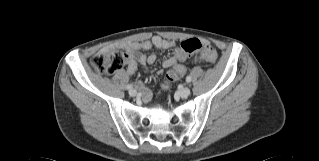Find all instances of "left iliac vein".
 I'll return each instance as SVG.
<instances>
[{
  "label": "left iliac vein",
  "instance_id": "obj_1",
  "mask_svg": "<svg viewBox=\"0 0 319 161\" xmlns=\"http://www.w3.org/2000/svg\"><path fill=\"white\" fill-rule=\"evenodd\" d=\"M178 95L181 98H187L190 95V89L188 87H184L183 89L179 90Z\"/></svg>",
  "mask_w": 319,
  "mask_h": 161
}]
</instances>
